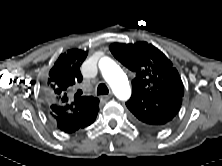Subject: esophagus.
<instances>
[{
	"label": "esophagus",
	"instance_id": "esophagus-1",
	"mask_svg": "<svg viewBox=\"0 0 222 166\" xmlns=\"http://www.w3.org/2000/svg\"><path fill=\"white\" fill-rule=\"evenodd\" d=\"M111 97H112V94H111V95H104V96H102L101 98H102L103 100H109Z\"/></svg>",
	"mask_w": 222,
	"mask_h": 166
}]
</instances>
